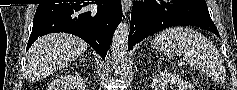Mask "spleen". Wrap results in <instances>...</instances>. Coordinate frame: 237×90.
<instances>
[{"mask_svg": "<svg viewBox=\"0 0 237 90\" xmlns=\"http://www.w3.org/2000/svg\"><path fill=\"white\" fill-rule=\"evenodd\" d=\"M153 48L165 50L167 56H182L181 60L206 74L216 68L218 52L215 46L200 32L191 28H167L159 32L153 42Z\"/></svg>", "mask_w": 237, "mask_h": 90, "instance_id": "3e777b00", "label": "spleen"}]
</instances>
